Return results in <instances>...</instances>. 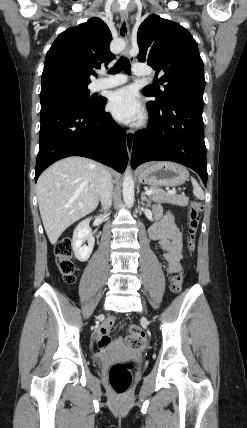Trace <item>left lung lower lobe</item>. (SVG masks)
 Returning a JSON list of instances; mask_svg holds the SVG:
<instances>
[{"instance_id":"left-lung-lower-lobe-1","label":"left lung lower lobe","mask_w":247,"mask_h":428,"mask_svg":"<svg viewBox=\"0 0 247 428\" xmlns=\"http://www.w3.org/2000/svg\"><path fill=\"white\" fill-rule=\"evenodd\" d=\"M150 123L134 136L131 165L173 161L193 169L207 186L203 105L179 98L158 108L147 103Z\"/></svg>"}]
</instances>
